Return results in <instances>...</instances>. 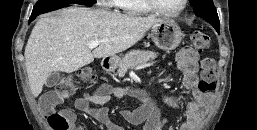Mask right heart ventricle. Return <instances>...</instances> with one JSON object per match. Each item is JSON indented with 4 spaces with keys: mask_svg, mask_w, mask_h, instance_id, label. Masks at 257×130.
<instances>
[{
    "mask_svg": "<svg viewBox=\"0 0 257 130\" xmlns=\"http://www.w3.org/2000/svg\"><path fill=\"white\" fill-rule=\"evenodd\" d=\"M114 2V6L127 15L140 16L152 12L144 0H114Z\"/></svg>",
    "mask_w": 257,
    "mask_h": 130,
    "instance_id": "obj_1",
    "label": "right heart ventricle"
}]
</instances>
